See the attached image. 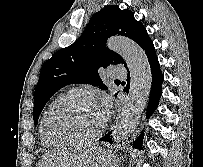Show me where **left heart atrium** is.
<instances>
[{"label": "left heart atrium", "instance_id": "1", "mask_svg": "<svg viewBox=\"0 0 203 167\" xmlns=\"http://www.w3.org/2000/svg\"><path fill=\"white\" fill-rule=\"evenodd\" d=\"M110 111H111V103L108 99H104L101 103V106H100V115L103 119V122H105L110 114Z\"/></svg>", "mask_w": 203, "mask_h": 167}]
</instances>
